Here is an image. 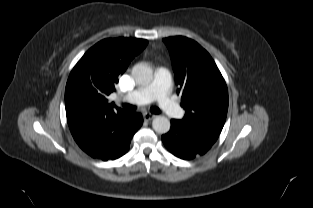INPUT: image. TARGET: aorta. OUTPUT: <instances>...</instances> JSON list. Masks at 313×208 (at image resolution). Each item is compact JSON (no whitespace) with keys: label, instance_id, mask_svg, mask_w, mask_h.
<instances>
[{"label":"aorta","instance_id":"762f6f07","mask_svg":"<svg viewBox=\"0 0 313 208\" xmlns=\"http://www.w3.org/2000/svg\"><path fill=\"white\" fill-rule=\"evenodd\" d=\"M132 76L140 85H147L153 80V70L146 63H137L132 68ZM170 120L165 116H157L152 121L155 132L165 134L170 130Z\"/></svg>","mask_w":313,"mask_h":208}]
</instances>
